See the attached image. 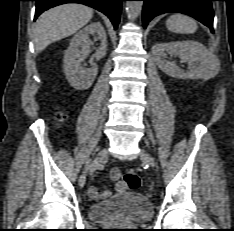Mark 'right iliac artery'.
<instances>
[{
  "instance_id": "obj_1",
  "label": "right iliac artery",
  "mask_w": 234,
  "mask_h": 231,
  "mask_svg": "<svg viewBox=\"0 0 234 231\" xmlns=\"http://www.w3.org/2000/svg\"><path fill=\"white\" fill-rule=\"evenodd\" d=\"M96 169H97V168H91L89 174H90V175H93V174L96 172Z\"/></svg>"
}]
</instances>
